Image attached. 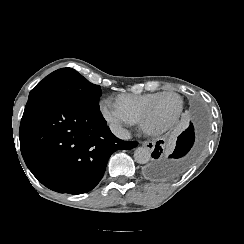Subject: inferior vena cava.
Returning a JSON list of instances; mask_svg holds the SVG:
<instances>
[{
  "label": "inferior vena cava",
  "instance_id": "1",
  "mask_svg": "<svg viewBox=\"0 0 244 244\" xmlns=\"http://www.w3.org/2000/svg\"><path fill=\"white\" fill-rule=\"evenodd\" d=\"M111 130L119 139L128 140L131 138L129 131L126 129L119 127H111Z\"/></svg>",
  "mask_w": 244,
  "mask_h": 244
}]
</instances>
